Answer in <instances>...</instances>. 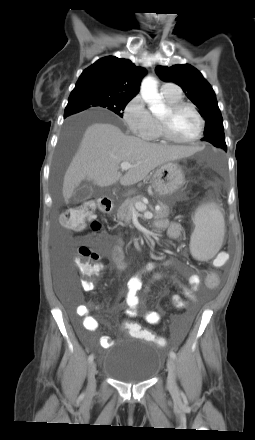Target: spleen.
Here are the masks:
<instances>
[{"mask_svg":"<svg viewBox=\"0 0 255 440\" xmlns=\"http://www.w3.org/2000/svg\"><path fill=\"white\" fill-rule=\"evenodd\" d=\"M193 221L195 229L190 239V252L195 259L207 261L214 257L222 245L224 217L212 203L198 207Z\"/></svg>","mask_w":255,"mask_h":440,"instance_id":"3e777b00","label":"spleen"}]
</instances>
